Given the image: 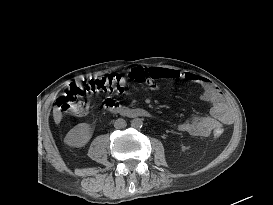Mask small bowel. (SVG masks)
Instances as JSON below:
<instances>
[{
    "label": "small bowel",
    "mask_w": 273,
    "mask_h": 205,
    "mask_svg": "<svg viewBox=\"0 0 273 205\" xmlns=\"http://www.w3.org/2000/svg\"><path fill=\"white\" fill-rule=\"evenodd\" d=\"M147 69L151 76L150 81L147 82L149 87L157 88V81L159 80L184 78L187 81L197 83L202 88V98L210 103V116H193L178 125V130L192 136L204 137L210 135L216 129H222L224 124L232 123L233 115L225 97L208 79L188 72L181 74L176 70L159 67H149Z\"/></svg>",
    "instance_id": "c3829d8e"
}]
</instances>
